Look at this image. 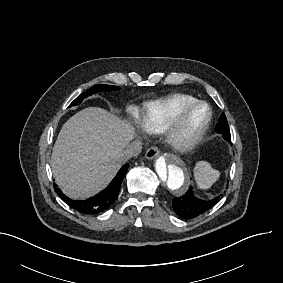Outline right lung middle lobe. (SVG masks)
<instances>
[{"label": "right lung middle lobe", "mask_w": 283, "mask_h": 283, "mask_svg": "<svg viewBox=\"0 0 283 283\" xmlns=\"http://www.w3.org/2000/svg\"><path fill=\"white\" fill-rule=\"evenodd\" d=\"M118 89H119V88L116 87V86H110V85H104V84H97V85L93 86V88L88 89L85 93H82L81 95H79V97L76 98V99L70 104V106L80 104V103L83 101L84 98H86L87 96H90V95L96 93L97 91H100V90L109 91V90H118Z\"/></svg>", "instance_id": "obj_1"}]
</instances>
